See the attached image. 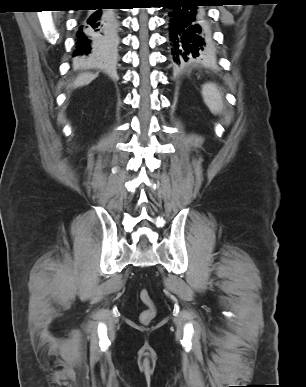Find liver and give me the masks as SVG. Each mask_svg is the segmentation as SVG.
Here are the masks:
<instances>
[{"mask_svg": "<svg viewBox=\"0 0 306 387\" xmlns=\"http://www.w3.org/2000/svg\"><path fill=\"white\" fill-rule=\"evenodd\" d=\"M96 77H97L96 74L82 73V74L78 75V77L75 79V81L73 83V87L77 88V87H81V86H84V85H88Z\"/></svg>", "mask_w": 306, "mask_h": 387, "instance_id": "liver-1", "label": "liver"}]
</instances>
